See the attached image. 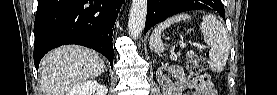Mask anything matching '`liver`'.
I'll return each instance as SVG.
<instances>
[{"label": "liver", "mask_w": 277, "mask_h": 95, "mask_svg": "<svg viewBox=\"0 0 277 95\" xmlns=\"http://www.w3.org/2000/svg\"><path fill=\"white\" fill-rule=\"evenodd\" d=\"M40 68L44 95H69L76 85L100 76L105 64L94 50L67 45L49 52Z\"/></svg>", "instance_id": "obj_1"}]
</instances>
